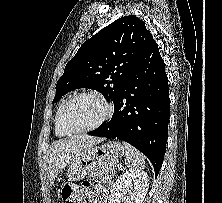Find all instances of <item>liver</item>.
Segmentation results:
<instances>
[{
    "mask_svg": "<svg viewBox=\"0 0 222 203\" xmlns=\"http://www.w3.org/2000/svg\"><path fill=\"white\" fill-rule=\"evenodd\" d=\"M101 141L102 139L94 136L77 135L52 143L47 160L50 182L52 183L58 174L71 163L74 158L78 157L82 151L93 147Z\"/></svg>",
    "mask_w": 222,
    "mask_h": 203,
    "instance_id": "1",
    "label": "liver"
}]
</instances>
